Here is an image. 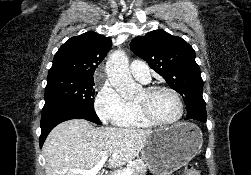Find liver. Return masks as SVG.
<instances>
[{
    "instance_id": "6515ba94",
    "label": "liver",
    "mask_w": 251,
    "mask_h": 175,
    "mask_svg": "<svg viewBox=\"0 0 251 175\" xmlns=\"http://www.w3.org/2000/svg\"><path fill=\"white\" fill-rule=\"evenodd\" d=\"M149 129L93 127L87 119H68L56 125L43 145L46 175H82L72 169H91L111 155L109 167H121L140 153Z\"/></svg>"
}]
</instances>
